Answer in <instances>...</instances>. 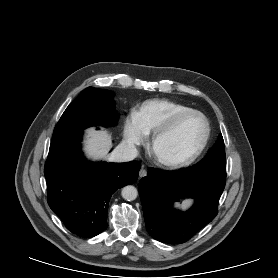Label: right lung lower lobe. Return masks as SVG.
<instances>
[{
  "mask_svg": "<svg viewBox=\"0 0 278 278\" xmlns=\"http://www.w3.org/2000/svg\"><path fill=\"white\" fill-rule=\"evenodd\" d=\"M81 136L79 132L51 143L44 168L47 200L68 230L93 237L107 227L112 194L137 180L141 164L87 162Z\"/></svg>",
  "mask_w": 278,
  "mask_h": 278,
  "instance_id": "1",
  "label": "right lung lower lobe"
}]
</instances>
